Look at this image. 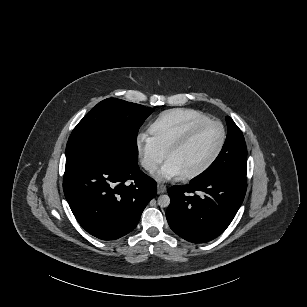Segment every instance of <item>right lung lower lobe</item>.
<instances>
[{
    "label": "right lung lower lobe",
    "mask_w": 307,
    "mask_h": 307,
    "mask_svg": "<svg viewBox=\"0 0 307 307\" xmlns=\"http://www.w3.org/2000/svg\"><path fill=\"white\" fill-rule=\"evenodd\" d=\"M63 189L79 224L99 239L113 240L136 227L156 182L138 164L93 151L66 159Z\"/></svg>",
    "instance_id": "right-lung-lower-lobe-1"
}]
</instances>
